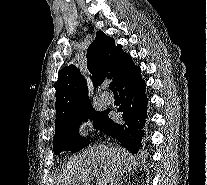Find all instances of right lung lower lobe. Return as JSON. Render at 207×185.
Instances as JSON below:
<instances>
[{
  "label": "right lung lower lobe",
  "instance_id": "98d812e1",
  "mask_svg": "<svg viewBox=\"0 0 207 185\" xmlns=\"http://www.w3.org/2000/svg\"><path fill=\"white\" fill-rule=\"evenodd\" d=\"M140 73L141 70L116 85L121 98L117 111L122 112L121 117L117 122L110 119L100 130L119 140L132 153H136L141 146L143 126L147 118L146 84Z\"/></svg>",
  "mask_w": 207,
  "mask_h": 185
}]
</instances>
